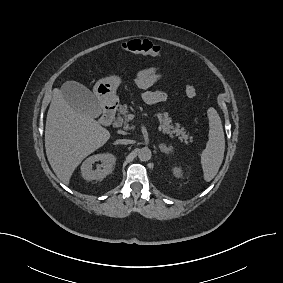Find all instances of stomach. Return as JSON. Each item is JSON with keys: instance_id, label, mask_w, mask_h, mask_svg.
Segmentation results:
<instances>
[{"instance_id": "1", "label": "stomach", "mask_w": 283, "mask_h": 283, "mask_svg": "<svg viewBox=\"0 0 283 283\" xmlns=\"http://www.w3.org/2000/svg\"><path fill=\"white\" fill-rule=\"evenodd\" d=\"M122 79L118 75H112L100 79L94 86V94L99 103L103 106L115 105L118 102L116 90L121 84Z\"/></svg>"}]
</instances>
